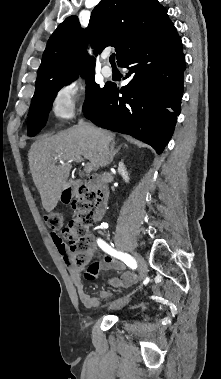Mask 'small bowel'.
<instances>
[{
  "mask_svg": "<svg viewBox=\"0 0 221 379\" xmlns=\"http://www.w3.org/2000/svg\"><path fill=\"white\" fill-rule=\"evenodd\" d=\"M53 242L57 247L59 253L63 256V259L68 267L69 274L74 286L77 289L78 297L82 304L87 308H98L101 306V299H108L112 296V293L108 290H102L99 293V297L89 294L85 289L82 281L85 279L86 282H95L97 276L101 269L109 270L115 269L118 271H124L120 277L112 278L110 284L115 287H127L134 283L135 278L132 273L125 271L126 266L116 260L115 258L105 255L100 261L95 262L94 264H88L87 267L83 268V274L75 267L71 255L68 253L65 246L61 244L58 237L52 236ZM89 262H93V259H89Z\"/></svg>",
  "mask_w": 221,
  "mask_h": 379,
  "instance_id": "obj_1",
  "label": "small bowel"
}]
</instances>
